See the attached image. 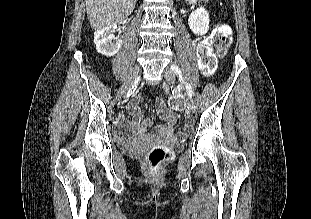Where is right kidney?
<instances>
[{
  "label": "right kidney",
  "instance_id": "obj_1",
  "mask_svg": "<svg viewBox=\"0 0 311 219\" xmlns=\"http://www.w3.org/2000/svg\"><path fill=\"white\" fill-rule=\"evenodd\" d=\"M115 30L116 25H110L98 29L94 33V44L98 53H101L106 57H112L119 51L122 45V40L114 37L113 33Z\"/></svg>",
  "mask_w": 311,
  "mask_h": 219
}]
</instances>
